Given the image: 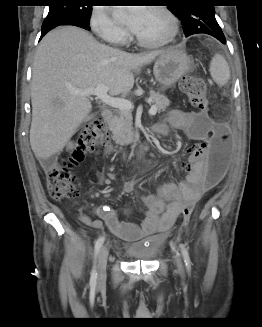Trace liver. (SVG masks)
Returning a JSON list of instances; mask_svg holds the SVG:
<instances>
[{
    "instance_id": "obj_1",
    "label": "liver",
    "mask_w": 262,
    "mask_h": 327,
    "mask_svg": "<svg viewBox=\"0 0 262 327\" xmlns=\"http://www.w3.org/2000/svg\"><path fill=\"white\" fill-rule=\"evenodd\" d=\"M163 53L113 49L73 26L48 33L37 48L32 71L30 145L36 158L59 153L91 112L88 97L73 94V89L104 85L112 96L126 94L134 86L133 71Z\"/></svg>"
}]
</instances>
